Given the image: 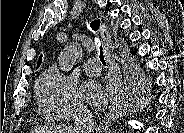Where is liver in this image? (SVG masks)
Returning a JSON list of instances; mask_svg holds the SVG:
<instances>
[{"instance_id":"1","label":"liver","mask_w":184,"mask_h":133,"mask_svg":"<svg viewBox=\"0 0 184 133\" xmlns=\"http://www.w3.org/2000/svg\"><path fill=\"white\" fill-rule=\"evenodd\" d=\"M35 133H75L72 127H40L34 130Z\"/></svg>"}]
</instances>
